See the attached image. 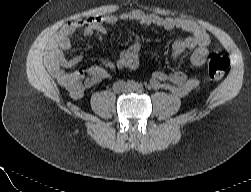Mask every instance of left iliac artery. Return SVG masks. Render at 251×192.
Instances as JSON below:
<instances>
[{"label": "left iliac artery", "instance_id": "left-iliac-artery-1", "mask_svg": "<svg viewBox=\"0 0 251 192\" xmlns=\"http://www.w3.org/2000/svg\"><path fill=\"white\" fill-rule=\"evenodd\" d=\"M136 88H137V90H139V89L141 88V86H140V85H138Z\"/></svg>", "mask_w": 251, "mask_h": 192}]
</instances>
